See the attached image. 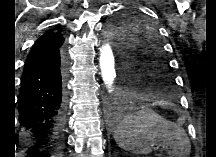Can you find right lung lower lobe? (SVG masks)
I'll use <instances>...</instances> for the list:
<instances>
[{
  "instance_id": "obj_1",
  "label": "right lung lower lobe",
  "mask_w": 216,
  "mask_h": 157,
  "mask_svg": "<svg viewBox=\"0 0 216 157\" xmlns=\"http://www.w3.org/2000/svg\"><path fill=\"white\" fill-rule=\"evenodd\" d=\"M64 74L59 51L23 70L18 120L24 157H59L65 112Z\"/></svg>"
}]
</instances>
